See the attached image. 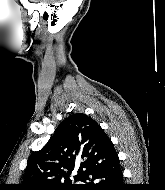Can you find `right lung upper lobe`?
<instances>
[{
    "instance_id": "obj_1",
    "label": "right lung upper lobe",
    "mask_w": 165,
    "mask_h": 190,
    "mask_svg": "<svg viewBox=\"0 0 165 190\" xmlns=\"http://www.w3.org/2000/svg\"><path fill=\"white\" fill-rule=\"evenodd\" d=\"M114 154L111 140L97 122L83 113L73 114L60 123L41 150L29 157L19 189L53 190L74 185L69 176L75 167L79 165L74 179L80 180L91 167Z\"/></svg>"
}]
</instances>
